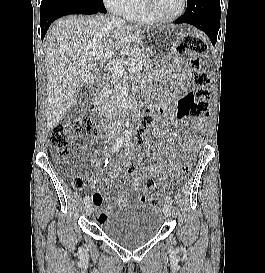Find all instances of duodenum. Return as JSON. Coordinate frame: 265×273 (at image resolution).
<instances>
[{"label": "duodenum", "mask_w": 265, "mask_h": 273, "mask_svg": "<svg viewBox=\"0 0 265 273\" xmlns=\"http://www.w3.org/2000/svg\"><path fill=\"white\" fill-rule=\"evenodd\" d=\"M98 91H99V89L96 90V95H95V98H94V102L98 101V99H99V98H98V94H97Z\"/></svg>", "instance_id": "1"}]
</instances>
